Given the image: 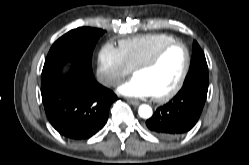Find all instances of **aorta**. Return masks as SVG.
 <instances>
[{"label":"aorta","mask_w":249,"mask_h":165,"mask_svg":"<svg viewBox=\"0 0 249 165\" xmlns=\"http://www.w3.org/2000/svg\"><path fill=\"white\" fill-rule=\"evenodd\" d=\"M139 116L148 119L152 116V108L149 105L143 104L138 109Z\"/></svg>","instance_id":"obj_1"}]
</instances>
